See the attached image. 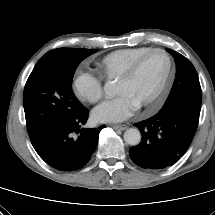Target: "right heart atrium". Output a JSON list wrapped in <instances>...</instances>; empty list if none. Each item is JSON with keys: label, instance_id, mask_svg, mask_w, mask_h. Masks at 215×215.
<instances>
[{"label": "right heart atrium", "instance_id": "d8ad5b80", "mask_svg": "<svg viewBox=\"0 0 215 215\" xmlns=\"http://www.w3.org/2000/svg\"><path fill=\"white\" fill-rule=\"evenodd\" d=\"M73 90L81 101L96 103L103 96L102 79L91 72L78 71L74 76Z\"/></svg>", "mask_w": 215, "mask_h": 215}]
</instances>
